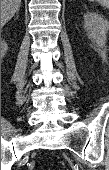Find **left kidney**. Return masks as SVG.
Segmentation results:
<instances>
[{"label":"left kidney","instance_id":"left-kidney-1","mask_svg":"<svg viewBox=\"0 0 109 170\" xmlns=\"http://www.w3.org/2000/svg\"><path fill=\"white\" fill-rule=\"evenodd\" d=\"M84 24L89 38L98 48L106 49L108 21L101 15L94 12H87L84 15Z\"/></svg>","mask_w":109,"mask_h":170}]
</instances>
